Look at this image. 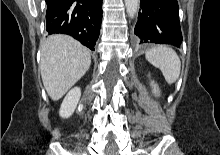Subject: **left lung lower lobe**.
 <instances>
[{"mask_svg": "<svg viewBox=\"0 0 220 155\" xmlns=\"http://www.w3.org/2000/svg\"><path fill=\"white\" fill-rule=\"evenodd\" d=\"M140 6L134 30L136 42L180 47L182 34L177 0H140Z\"/></svg>", "mask_w": 220, "mask_h": 155, "instance_id": "left-lung-lower-lobe-1", "label": "left lung lower lobe"}]
</instances>
